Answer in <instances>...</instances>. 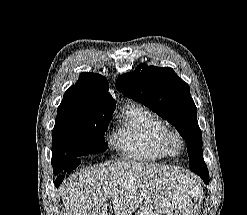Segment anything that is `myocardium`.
<instances>
[{"mask_svg":"<svg viewBox=\"0 0 247 215\" xmlns=\"http://www.w3.org/2000/svg\"><path fill=\"white\" fill-rule=\"evenodd\" d=\"M161 143L164 150L172 156L179 155L185 145L182 134L176 129L166 128L161 136Z\"/></svg>","mask_w":247,"mask_h":215,"instance_id":"f54148a6","label":"myocardium"}]
</instances>
